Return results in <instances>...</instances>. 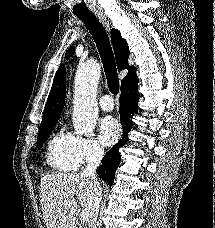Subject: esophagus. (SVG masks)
<instances>
[{"instance_id":"34e87169","label":"esophagus","mask_w":215,"mask_h":228,"mask_svg":"<svg viewBox=\"0 0 215 228\" xmlns=\"http://www.w3.org/2000/svg\"><path fill=\"white\" fill-rule=\"evenodd\" d=\"M98 18L100 19V21L102 22V24L104 25L106 30L110 31L111 30V25H110V22H109L107 16L104 15V14H98Z\"/></svg>"}]
</instances>
